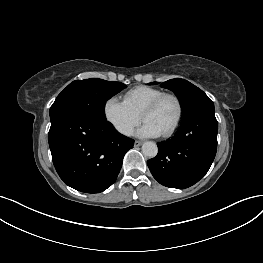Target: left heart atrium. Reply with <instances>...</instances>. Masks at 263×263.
<instances>
[{"label": "left heart atrium", "mask_w": 263, "mask_h": 263, "mask_svg": "<svg viewBox=\"0 0 263 263\" xmlns=\"http://www.w3.org/2000/svg\"><path fill=\"white\" fill-rule=\"evenodd\" d=\"M136 134L140 137H158L161 132L152 123L145 121Z\"/></svg>", "instance_id": "1"}]
</instances>
